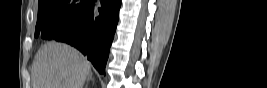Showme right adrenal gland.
<instances>
[{
    "label": "right adrenal gland",
    "instance_id": "obj_1",
    "mask_svg": "<svg viewBox=\"0 0 267 88\" xmlns=\"http://www.w3.org/2000/svg\"><path fill=\"white\" fill-rule=\"evenodd\" d=\"M89 80H93V78H92V73H91V72H90V74H89L88 77H87L85 88H87V84H88V81H89Z\"/></svg>",
    "mask_w": 267,
    "mask_h": 88
}]
</instances>
